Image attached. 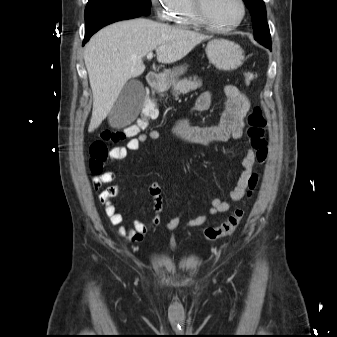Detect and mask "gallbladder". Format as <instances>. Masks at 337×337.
Listing matches in <instances>:
<instances>
[{"label":"gallbladder","mask_w":337,"mask_h":337,"mask_svg":"<svg viewBox=\"0 0 337 337\" xmlns=\"http://www.w3.org/2000/svg\"><path fill=\"white\" fill-rule=\"evenodd\" d=\"M144 96L140 81L133 79L126 83L110 112V124L117 128L130 124L142 109Z\"/></svg>","instance_id":"1"}]
</instances>
